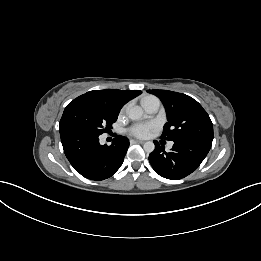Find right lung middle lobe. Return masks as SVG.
Returning <instances> with one entry per match:
<instances>
[{
	"label": "right lung middle lobe",
	"mask_w": 261,
	"mask_h": 261,
	"mask_svg": "<svg viewBox=\"0 0 261 261\" xmlns=\"http://www.w3.org/2000/svg\"><path fill=\"white\" fill-rule=\"evenodd\" d=\"M119 111L98 98L81 95L65 108L60 120V130H86L101 135L117 120Z\"/></svg>",
	"instance_id": "obj_1"
}]
</instances>
